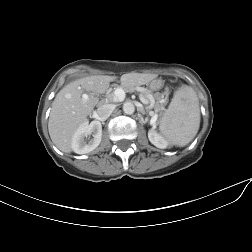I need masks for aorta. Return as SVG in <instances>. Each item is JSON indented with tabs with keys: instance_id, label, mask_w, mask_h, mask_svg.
<instances>
[{
	"instance_id": "762f6f07",
	"label": "aorta",
	"mask_w": 252,
	"mask_h": 252,
	"mask_svg": "<svg viewBox=\"0 0 252 252\" xmlns=\"http://www.w3.org/2000/svg\"><path fill=\"white\" fill-rule=\"evenodd\" d=\"M123 111H124L126 114H128V115L133 114L134 111H135V106H134V104L131 103V102H125V103L123 104Z\"/></svg>"
}]
</instances>
